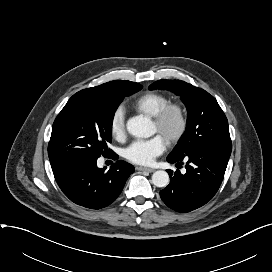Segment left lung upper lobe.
I'll list each match as a JSON object with an SVG mask.
<instances>
[{"mask_svg": "<svg viewBox=\"0 0 272 272\" xmlns=\"http://www.w3.org/2000/svg\"><path fill=\"white\" fill-rule=\"evenodd\" d=\"M149 89L171 90L188 111L186 130L169 156L180 158L203 146L231 144L227 118L208 92L181 80L166 79L154 82Z\"/></svg>", "mask_w": 272, "mask_h": 272, "instance_id": "obj_1", "label": "left lung upper lobe"}]
</instances>
